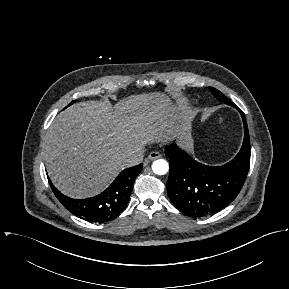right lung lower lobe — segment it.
Instances as JSON below:
<instances>
[{"label": "right lung lower lobe", "instance_id": "98d812e1", "mask_svg": "<svg viewBox=\"0 0 289 289\" xmlns=\"http://www.w3.org/2000/svg\"><path fill=\"white\" fill-rule=\"evenodd\" d=\"M143 164L123 170L101 194L87 199H72L63 195L50 182L52 191L70 212L90 222H107L120 213L130 198L133 183Z\"/></svg>", "mask_w": 289, "mask_h": 289}]
</instances>
